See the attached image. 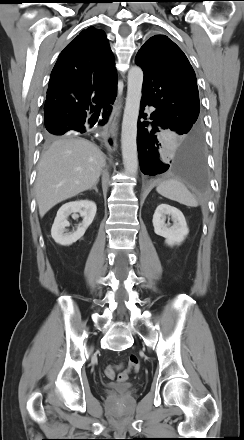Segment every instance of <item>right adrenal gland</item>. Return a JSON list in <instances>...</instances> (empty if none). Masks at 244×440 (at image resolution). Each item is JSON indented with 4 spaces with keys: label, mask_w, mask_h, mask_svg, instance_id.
Segmentation results:
<instances>
[{
    "label": "right adrenal gland",
    "mask_w": 244,
    "mask_h": 440,
    "mask_svg": "<svg viewBox=\"0 0 244 440\" xmlns=\"http://www.w3.org/2000/svg\"><path fill=\"white\" fill-rule=\"evenodd\" d=\"M90 190H95L96 193H98L97 183H95Z\"/></svg>",
    "instance_id": "obj_1"
}]
</instances>
